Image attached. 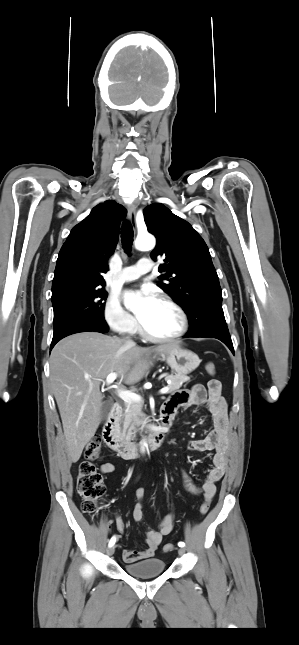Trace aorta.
Here are the masks:
<instances>
[{
	"label": "aorta",
	"instance_id": "1",
	"mask_svg": "<svg viewBox=\"0 0 299 645\" xmlns=\"http://www.w3.org/2000/svg\"><path fill=\"white\" fill-rule=\"evenodd\" d=\"M135 247L141 251L151 250L155 247V238L149 234L138 236L135 241ZM125 305L128 306L132 311H134L138 308L139 303L135 300H126Z\"/></svg>",
	"mask_w": 299,
	"mask_h": 645
}]
</instances>
